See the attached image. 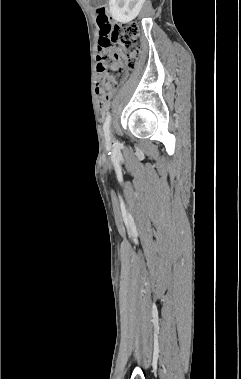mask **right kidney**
Returning a JSON list of instances; mask_svg holds the SVG:
<instances>
[{
  "mask_svg": "<svg viewBox=\"0 0 241 379\" xmlns=\"http://www.w3.org/2000/svg\"><path fill=\"white\" fill-rule=\"evenodd\" d=\"M145 0H110L112 18L120 23H129L139 14Z\"/></svg>",
  "mask_w": 241,
  "mask_h": 379,
  "instance_id": "ca27d5eb",
  "label": "right kidney"
}]
</instances>
